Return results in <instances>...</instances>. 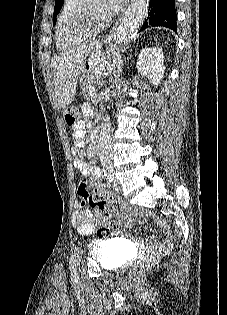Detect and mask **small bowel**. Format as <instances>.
Masks as SVG:
<instances>
[{"label":"small bowel","mask_w":227,"mask_h":315,"mask_svg":"<svg viewBox=\"0 0 227 315\" xmlns=\"http://www.w3.org/2000/svg\"><path fill=\"white\" fill-rule=\"evenodd\" d=\"M73 147L72 155L74 157V166L77 168L85 177H87L91 184L96 187H102V173L101 170L94 165L93 153L90 151L88 159L84 157V131L81 124L76 125L72 132ZM108 193V192H107ZM110 214L108 217L115 220H124L129 212H135L128 208L124 202H119L114 204L113 198L111 196L109 202ZM73 226L81 234H92L98 225V222L94 220L93 214L90 209L84 208L76 212L73 216ZM161 232L165 237L160 242H154L152 244L153 249L156 251L165 250L168 248L173 237L170 233L168 225L161 223Z\"/></svg>","instance_id":"small-bowel-1"}]
</instances>
